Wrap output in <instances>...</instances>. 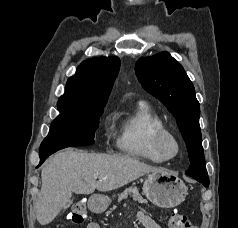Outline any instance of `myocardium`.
Returning <instances> with one entry per match:
<instances>
[{"label": "myocardium", "instance_id": "obj_1", "mask_svg": "<svg viewBox=\"0 0 238 228\" xmlns=\"http://www.w3.org/2000/svg\"><path fill=\"white\" fill-rule=\"evenodd\" d=\"M168 143L173 145V153H169L167 151ZM152 145L156 153L165 161L175 159L181 152V145L178 138L170 129L165 126L159 128L155 132Z\"/></svg>", "mask_w": 238, "mask_h": 228}]
</instances>
